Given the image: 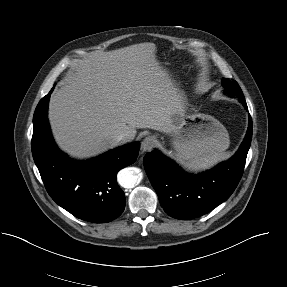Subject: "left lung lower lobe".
I'll return each instance as SVG.
<instances>
[{
    "mask_svg": "<svg viewBox=\"0 0 287 287\" xmlns=\"http://www.w3.org/2000/svg\"><path fill=\"white\" fill-rule=\"evenodd\" d=\"M240 102L248 109L245 100ZM251 139L249 115L247 134L235 155L198 175L185 173L157 150L147 153L144 167L164 211L176 219H194L227 200L241 179Z\"/></svg>",
    "mask_w": 287,
    "mask_h": 287,
    "instance_id": "1",
    "label": "left lung lower lobe"
}]
</instances>
